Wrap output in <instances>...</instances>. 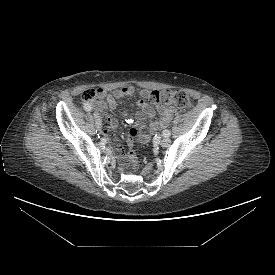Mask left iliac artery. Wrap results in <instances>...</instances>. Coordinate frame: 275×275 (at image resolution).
Returning a JSON list of instances; mask_svg holds the SVG:
<instances>
[{"instance_id":"44dca946","label":"left iliac artery","mask_w":275,"mask_h":275,"mask_svg":"<svg viewBox=\"0 0 275 275\" xmlns=\"http://www.w3.org/2000/svg\"><path fill=\"white\" fill-rule=\"evenodd\" d=\"M170 135H171V132L169 130H164L163 131V136L164 137H170Z\"/></svg>"}]
</instances>
